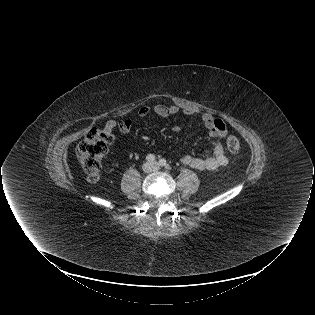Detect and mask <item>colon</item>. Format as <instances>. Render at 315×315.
<instances>
[{
  "mask_svg": "<svg viewBox=\"0 0 315 315\" xmlns=\"http://www.w3.org/2000/svg\"><path fill=\"white\" fill-rule=\"evenodd\" d=\"M112 141V133H108L104 129L95 128L79 144L77 157L89 181L94 182L98 179L102 160ZM226 146L234 154L238 153L241 148L240 142L235 136L227 138Z\"/></svg>",
  "mask_w": 315,
  "mask_h": 315,
  "instance_id": "colon-1",
  "label": "colon"
}]
</instances>
